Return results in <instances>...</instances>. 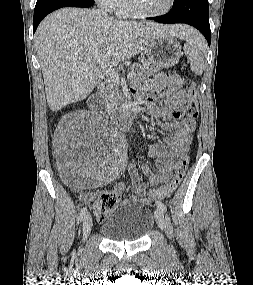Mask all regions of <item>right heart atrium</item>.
Returning a JSON list of instances; mask_svg holds the SVG:
<instances>
[{
	"label": "right heart atrium",
	"instance_id": "right-heart-atrium-1",
	"mask_svg": "<svg viewBox=\"0 0 253 285\" xmlns=\"http://www.w3.org/2000/svg\"><path fill=\"white\" fill-rule=\"evenodd\" d=\"M100 7L105 10H115L120 0H96Z\"/></svg>",
	"mask_w": 253,
	"mask_h": 285
}]
</instances>
